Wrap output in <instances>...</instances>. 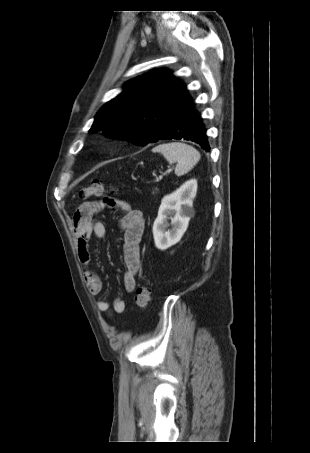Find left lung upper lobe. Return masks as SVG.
<instances>
[{
  "label": "left lung upper lobe",
  "mask_w": 310,
  "mask_h": 453,
  "mask_svg": "<svg viewBox=\"0 0 310 453\" xmlns=\"http://www.w3.org/2000/svg\"><path fill=\"white\" fill-rule=\"evenodd\" d=\"M185 90L184 83L166 69L138 76L99 110L89 133L103 131L105 136L141 146L157 142Z\"/></svg>",
  "instance_id": "5c2ea615"
}]
</instances>
